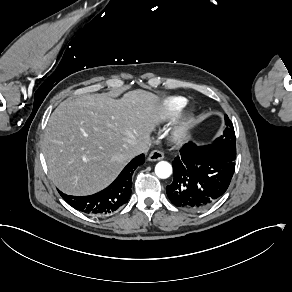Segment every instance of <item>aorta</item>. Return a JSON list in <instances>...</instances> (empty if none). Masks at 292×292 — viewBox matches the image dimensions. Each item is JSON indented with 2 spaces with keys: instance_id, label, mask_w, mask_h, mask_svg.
<instances>
[{
  "instance_id": "obj_1",
  "label": "aorta",
  "mask_w": 292,
  "mask_h": 292,
  "mask_svg": "<svg viewBox=\"0 0 292 292\" xmlns=\"http://www.w3.org/2000/svg\"><path fill=\"white\" fill-rule=\"evenodd\" d=\"M155 173L159 178H168L172 173V166L166 161H161L156 165Z\"/></svg>"
}]
</instances>
